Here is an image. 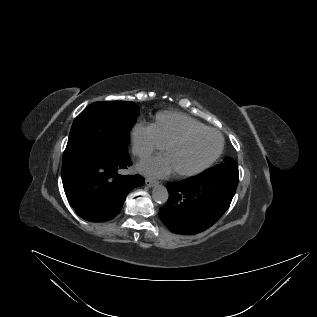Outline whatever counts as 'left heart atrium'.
I'll return each mask as SVG.
<instances>
[{
	"label": "left heart atrium",
	"mask_w": 317,
	"mask_h": 317,
	"mask_svg": "<svg viewBox=\"0 0 317 317\" xmlns=\"http://www.w3.org/2000/svg\"><path fill=\"white\" fill-rule=\"evenodd\" d=\"M138 168L144 173L159 177L166 176L173 171L165 155L145 160L139 164Z\"/></svg>",
	"instance_id": "1"
}]
</instances>
